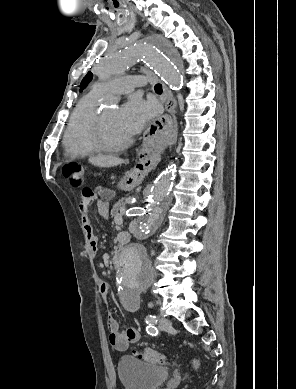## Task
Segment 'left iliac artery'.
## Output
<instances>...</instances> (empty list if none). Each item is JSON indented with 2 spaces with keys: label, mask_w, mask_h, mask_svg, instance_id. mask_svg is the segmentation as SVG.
<instances>
[{
  "label": "left iliac artery",
  "mask_w": 296,
  "mask_h": 389,
  "mask_svg": "<svg viewBox=\"0 0 296 389\" xmlns=\"http://www.w3.org/2000/svg\"><path fill=\"white\" fill-rule=\"evenodd\" d=\"M146 323L148 324L146 327V331L150 335H157L158 331L154 326L157 323V318L154 315H149L146 317Z\"/></svg>",
  "instance_id": "1"
}]
</instances>
